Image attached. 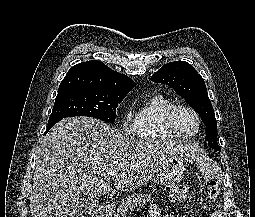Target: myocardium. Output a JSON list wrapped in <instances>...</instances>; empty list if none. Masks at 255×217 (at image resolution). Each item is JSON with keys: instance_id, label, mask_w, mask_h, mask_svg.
I'll use <instances>...</instances> for the list:
<instances>
[{"instance_id": "1", "label": "myocardium", "mask_w": 255, "mask_h": 217, "mask_svg": "<svg viewBox=\"0 0 255 217\" xmlns=\"http://www.w3.org/2000/svg\"><path fill=\"white\" fill-rule=\"evenodd\" d=\"M180 111H187L191 113L196 121H197V127L196 130L193 133H184L177 124V115ZM166 122L167 126L170 129L171 132H173L177 137L183 138V139H190L194 138L198 135L200 132L201 126H202V120L199 115V113L192 107L188 105H175L173 106L166 114Z\"/></svg>"}]
</instances>
